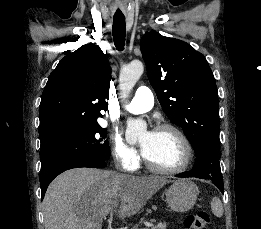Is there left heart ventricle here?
<instances>
[{
	"label": "left heart ventricle",
	"mask_w": 261,
	"mask_h": 229,
	"mask_svg": "<svg viewBox=\"0 0 261 229\" xmlns=\"http://www.w3.org/2000/svg\"><path fill=\"white\" fill-rule=\"evenodd\" d=\"M144 156L155 166L173 168L183 158V149L178 138L169 131L144 133L140 137Z\"/></svg>",
	"instance_id": "1"
}]
</instances>
